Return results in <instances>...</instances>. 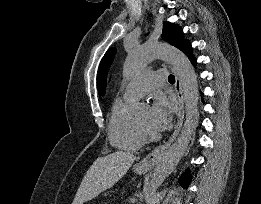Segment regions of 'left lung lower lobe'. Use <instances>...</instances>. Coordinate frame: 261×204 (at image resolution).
Masks as SVG:
<instances>
[{"mask_svg":"<svg viewBox=\"0 0 261 204\" xmlns=\"http://www.w3.org/2000/svg\"><path fill=\"white\" fill-rule=\"evenodd\" d=\"M183 51L189 58V60L191 61V63L195 66L196 65V59L194 58L192 51H191V45L188 42L186 44V46L181 50ZM180 182L181 185L186 188L190 182V176L188 174H184L182 175V177L180 178Z\"/></svg>","mask_w":261,"mask_h":204,"instance_id":"0a47b994","label":"left lung lower lobe"}]
</instances>
